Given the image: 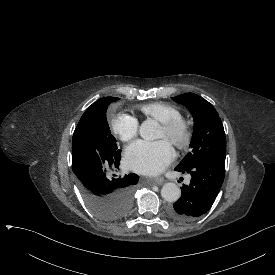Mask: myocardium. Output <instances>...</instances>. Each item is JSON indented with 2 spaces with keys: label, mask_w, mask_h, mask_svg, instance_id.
Masks as SVG:
<instances>
[{
  "label": "myocardium",
  "mask_w": 275,
  "mask_h": 275,
  "mask_svg": "<svg viewBox=\"0 0 275 275\" xmlns=\"http://www.w3.org/2000/svg\"><path fill=\"white\" fill-rule=\"evenodd\" d=\"M167 138L174 146L178 148L185 147L190 140V126L183 118H175L171 121L161 124Z\"/></svg>",
  "instance_id": "1"
}]
</instances>
